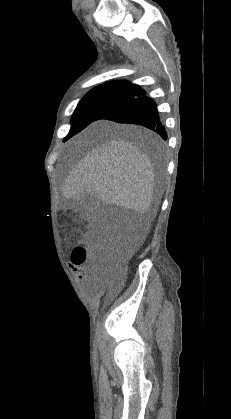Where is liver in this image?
<instances>
[{
  "label": "liver",
  "instance_id": "obj_1",
  "mask_svg": "<svg viewBox=\"0 0 231 419\" xmlns=\"http://www.w3.org/2000/svg\"><path fill=\"white\" fill-rule=\"evenodd\" d=\"M110 127L109 124H106ZM114 130L134 133L155 142L152 133L137 126L114 125ZM153 165L139 147L120 139L97 145L80 160L62 187L66 198L93 194L108 204L136 211L145 218L140 234L144 239L157 213L154 203Z\"/></svg>",
  "mask_w": 231,
  "mask_h": 419
}]
</instances>
